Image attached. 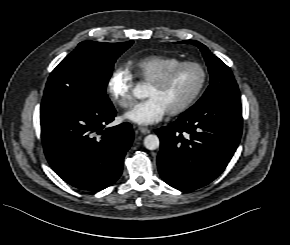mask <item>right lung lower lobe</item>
<instances>
[{"label":"right lung lower lobe","instance_id":"right-lung-lower-lobe-1","mask_svg":"<svg viewBox=\"0 0 290 245\" xmlns=\"http://www.w3.org/2000/svg\"><path fill=\"white\" fill-rule=\"evenodd\" d=\"M115 116L112 104L41 114L45 156L64 181L100 191L120 177L134 134L129 123L105 128Z\"/></svg>","mask_w":290,"mask_h":245}]
</instances>
